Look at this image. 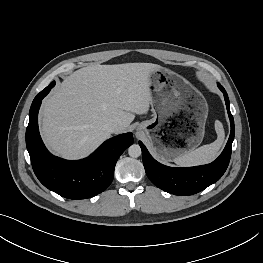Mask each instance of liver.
<instances>
[{
  "mask_svg": "<svg viewBox=\"0 0 263 263\" xmlns=\"http://www.w3.org/2000/svg\"><path fill=\"white\" fill-rule=\"evenodd\" d=\"M152 63L92 65L73 72L44 99L42 137L56 154L78 159L93 152L111 135L106 124L124 132L135 114L148 112Z\"/></svg>",
  "mask_w": 263,
  "mask_h": 263,
  "instance_id": "6515ba94",
  "label": "liver"
}]
</instances>
